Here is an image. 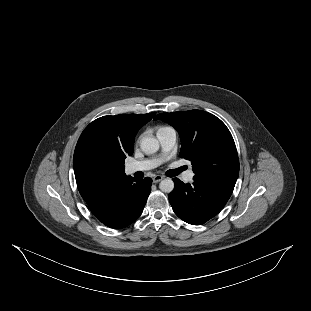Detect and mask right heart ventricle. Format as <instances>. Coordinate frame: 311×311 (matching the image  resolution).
Listing matches in <instances>:
<instances>
[{
  "instance_id": "right-heart-ventricle-1",
  "label": "right heart ventricle",
  "mask_w": 311,
  "mask_h": 311,
  "mask_svg": "<svg viewBox=\"0 0 311 311\" xmlns=\"http://www.w3.org/2000/svg\"><path fill=\"white\" fill-rule=\"evenodd\" d=\"M162 128H166V127H159L157 130L162 129Z\"/></svg>"
}]
</instances>
